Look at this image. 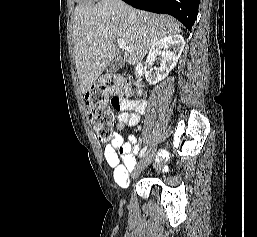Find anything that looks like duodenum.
Instances as JSON below:
<instances>
[{
    "mask_svg": "<svg viewBox=\"0 0 257 237\" xmlns=\"http://www.w3.org/2000/svg\"><path fill=\"white\" fill-rule=\"evenodd\" d=\"M136 77L140 80L144 76V67L141 63H138L135 67Z\"/></svg>",
    "mask_w": 257,
    "mask_h": 237,
    "instance_id": "obj_1",
    "label": "duodenum"
}]
</instances>
